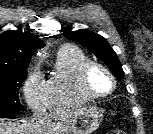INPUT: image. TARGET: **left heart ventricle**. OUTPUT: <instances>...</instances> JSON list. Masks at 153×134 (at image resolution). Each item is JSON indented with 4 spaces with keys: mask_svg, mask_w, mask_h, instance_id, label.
I'll return each instance as SVG.
<instances>
[{
    "mask_svg": "<svg viewBox=\"0 0 153 134\" xmlns=\"http://www.w3.org/2000/svg\"><path fill=\"white\" fill-rule=\"evenodd\" d=\"M89 86L95 93H105L111 89L112 83L108 75L99 69H95L90 74Z\"/></svg>",
    "mask_w": 153,
    "mask_h": 134,
    "instance_id": "b2bd125f",
    "label": "left heart ventricle"
}]
</instances>
